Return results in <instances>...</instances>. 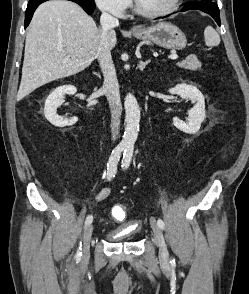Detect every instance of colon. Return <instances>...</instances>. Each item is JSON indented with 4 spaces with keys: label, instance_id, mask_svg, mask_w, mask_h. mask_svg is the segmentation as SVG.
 <instances>
[{
    "label": "colon",
    "instance_id": "5ec220e1",
    "mask_svg": "<svg viewBox=\"0 0 249 294\" xmlns=\"http://www.w3.org/2000/svg\"><path fill=\"white\" fill-rule=\"evenodd\" d=\"M114 216L117 219H120V220L125 218V216H126V207H125V205L120 204V205L116 206L115 210H114Z\"/></svg>",
    "mask_w": 249,
    "mask_h": 294
}]
</instances>
